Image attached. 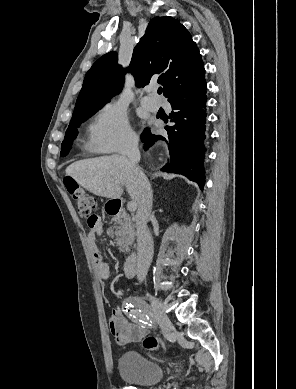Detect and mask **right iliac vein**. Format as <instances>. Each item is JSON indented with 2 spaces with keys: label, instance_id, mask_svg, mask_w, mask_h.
<instances>
[{
  "label": "right iliac vein",
  "instance_id": "63e3f726",
  "mask_svg": "<svg viewBox=\"0 0 296 389\" xmlns=\"http://www.w3.org/2000/svg\"><path fill=\"white\" fill-rule=\"evenodd\" d=\"M149 301L151 304L150 315H152L154 320L159 324L164 335L168 337L172 324L169 317L164 312L162 303L155 297H150Z\"/></svg>",
  "mask_w": 296,
  "mask_h": 389
}]
</instances>
